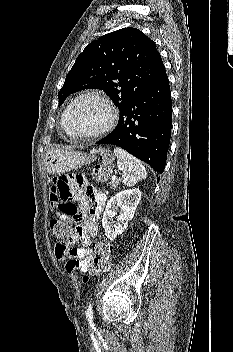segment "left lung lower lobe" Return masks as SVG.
I'll return each instance as SVG.
<instances>
[{"instance_id": "0a47b994", "label": "left lung lower lobe", "mask_w": 233, "mask_h": 352, "mask_svg": "<svg viewBox=\"0 0 233 352\" xmlns=\"http://www.w3.org/2000/svg\"><path fill=\"white\" fill-rule=\"evenodd\" d=\"M172 102L166 72L120 112L115 130L96 144L117 145L148 163L165 168L171 137Z\"/></svg>"}]
</instances>
